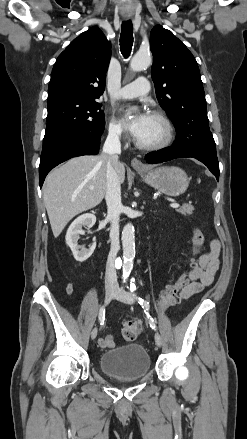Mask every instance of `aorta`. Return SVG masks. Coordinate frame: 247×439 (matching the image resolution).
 <instances>
[{"mask_svg":"<svg viewBox=\"0 0 247 439\" xmlns=\"http://www.w3.org/2000/svg\"><path fill=\"white\" fill-rule=\"evenodd\" d=\"M152 58L149 53H136L130 62V68L133 71H141L150 66ZM134 226L127 223L122 231V245H123V277L129 276L133 268V260L135 257V236Z\"/></svg>","mask_w":247,"mask_h":439,"instance_id":"aorta-1","label":"aorta"}]
</instances>
